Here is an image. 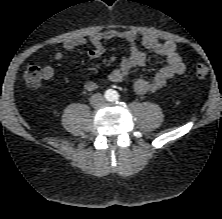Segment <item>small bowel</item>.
<instances>
[{"label":"small bowel","instance_id":"obj_1","mask_svg":"<svg viewBox=\"0 0 222 219\" xmlns=\"http://www.w3.org/2000/svg\"><path fill=\"white\" fill-rule=\"evenodd\" d=\"M116 39L123 40L130 46L129 55L121 61L119 67L112 70L108 75L109 81L118 83L121 82L132 69L141 67L146 63V54L137 46L138 34L135 31L108 29L102 32H96L87 38L68 40L64 44V49L66 51H72L78 47L89 45L92 46V49L88 52V57L90 59H98L105 52L104 43ZM141 43L155 55L164 59L166 64L155 73L152 79L139 78L135 81L134 90L137 94L142 95L162 89L170 79L185 72L186 66L174 42H162L156 36L147 33L141 37ZM63 57L62 52L55 54L57 60H62ZM43 72L45 74L44 80H50L54 75L51 67H45ZM81 81L83 88L87 91H94L98 86L95 81L87 77H82Z\"/></svg>","mask_w":222,"mask_h":219}]
</instances>
